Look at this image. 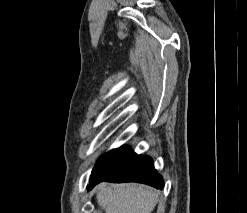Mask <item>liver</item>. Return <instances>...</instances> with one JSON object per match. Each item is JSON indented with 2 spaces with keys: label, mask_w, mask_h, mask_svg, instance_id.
Instances as JSON below:
<instances>
[{
  "label": "liver",
  "mask_w": 247,
  "mask_h": 213,
  "mask_svg": "<svg viewBox=\"0 0 247 213\" xmlns=\"http://www.w3.org/2000/svg\"><path fill=\"white\" fill-rule=\"evenodd\" d=\"M159 192L140 184L99 185L97 202L105 213H151Z\"/></svg>",
  "instance_id": "obj_1"
}]
</instances>
